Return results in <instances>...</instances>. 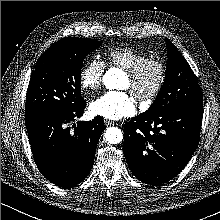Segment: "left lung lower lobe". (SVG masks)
Instances as JSON below:
<instances>
[{
    "instance_id": "obj_1",
    "label": "left lung lower lobe",
    "mask_w": 220,
    "mask_h": 220,
    "mask_svg": "<svg viewBox=\"0 0 220 220\" xmlns=\"http://www.w3.org/2000/svg\"><path fill=\"white\" fill-rule=\"evenodd\" d=\"M203 105L146 112L124 125V155L134 176L158 186L177 176L195 152Z\"/></svg>"
}]
</instances>
